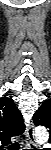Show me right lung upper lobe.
<instances>
[{
	"mask_svg": "<svg viewBox=\"0 0 51 150\" xmlns=\"http://www.w3.org/2000/svg\"><path fill=\"white\" fill-rule=\"evenodd\" d=\"M23 117L10 98L0 99V142L10 144L11 137L19 136L24 132Z\"/></svg>",
	"mask_w": 51,
	"mask_h": 150,
	"instance_id": "1",
	"label": "right lung upper lobe"
}]
</instances>
